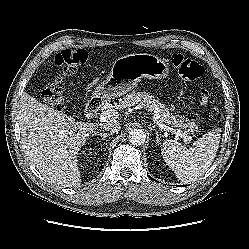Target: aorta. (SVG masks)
Instances as JSON below:
<instances>
[{"label":"aorta","mask_w":249,"mask_h":249,"mask_svg":"<svg viewBox=\"0 0 249 249\" xmlns=\"http://www.w3.org/2000/svg\"><path fill=\"white\" fill-rule=\"evenodd\" d=\"M129 142L134 146H140L145 143L146 134L142 129H133L128 135Z\"/></svg>","instance_id":"1"}]
</instances>
